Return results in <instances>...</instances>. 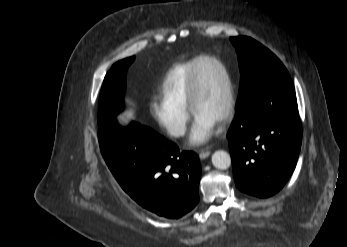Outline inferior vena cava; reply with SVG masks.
Instances as JSON below:
<instances>
[{
    "label": "inferior vena cava",
    "mask_w": 347,
    "mask_h": 247,
    "mask_svg": "<svg viewBox=\"0 0 347 247\" xmlns=\"http://www.w3.org/2000/svg\"><path fill=\"white\" fill-rule=\"evenodd\" d=\"M185 125H176V126H173L172 129H171V133L174 135V136H181V135H184L185 133Z\"/></svg>",
    "instance_id": "602c4592"
}]
</instances>
